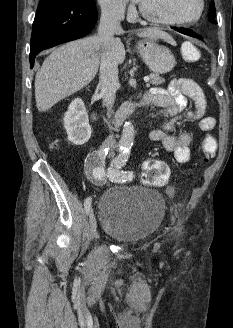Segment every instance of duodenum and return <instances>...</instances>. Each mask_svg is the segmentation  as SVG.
I'll return each mask as SVG.
<instances>
[{
  "mask_svg": "<svg viewBox=\"0 0 233 328\" xmlns=\"http://www.w3.org/2000/svg\"><path fill=\"white\" fill-rule=\"evenodd\" d=\"M149 103H150V98H149L148 94H144L141 98H139L137 100H132V101L126 102L123 106V113L125 116H127V115L131 114L133 111H135L136 109L143 107ZM105 122L109 128H111V129L114 128L115 123H114V121H112L110 119L109 116L105 119Z\"/></svg>",
  "mask_w": 233,
  "mask_h": 328,
  "instance_id": "410a0bca",
  "label": "duodenum"
}]
</instances>
